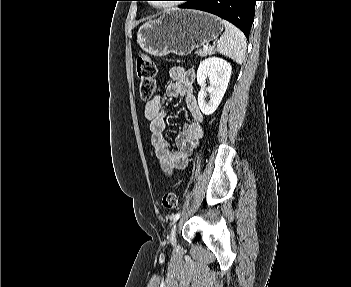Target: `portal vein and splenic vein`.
Wrapping results in <instances>:
<instances>
[{"mask_svg": "<svg viewBox=\"0 0 351 287\" xmlns=\"http://www.w3.org/2000/svg\"><path fill=\"white\" fill-rule=\"evenodd\" d=\"M203 49H208V46H204V48Z\"/></svg>", "mask_w": 351, "mask_h": 287, "instance_id": "obj_1", "label": "portal vein and splenic vein"}]
</instances>
